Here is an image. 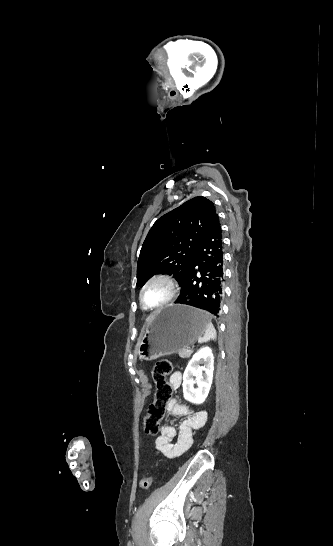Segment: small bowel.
<instances>
[{
	"instance_id": "1",
	"label": "small bowel",
	"mask_w": 333,
	"mask_h": 546,
	"mask_svg": "<svg viewBox=\"0 0 333 546\" xmlns=\"http://www.w3.org/2000/svg\"><path fill=\"white\" fill-rule=\"evenodd\" d=\"M169 380L174 388L181 387L182 373L180 371L172 373ZM166 409L171 416H185L186 418L182 421L178 430L172 425H163L155 440V446L166 457L176 458L191 447L194 432L206 424L208 415L206 411L193 413L188 406L181 404L174 398L168 402Z\"/></svg>"
}]
</instances>
